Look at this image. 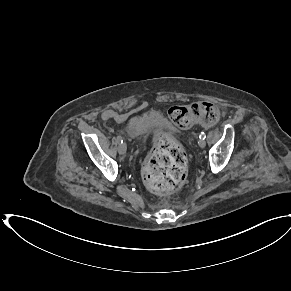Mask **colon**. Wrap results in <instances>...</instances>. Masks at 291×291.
<instances>
[{
    "mask_svg": "<svg viewBox=\"0 0 291 291\" xmlns=\"http://www.w3.org/2000/svg\"><path fill=\"white\" fill-rule=\"evenodd\" d=\"M170 120L181 128L195 123L214 124L219 117L217 107L210 102H195L172 106L168 110ZM187 173V158L179 144L166 134H161L155 148L143 167V179L148 189L156 193H168L178 189Z\"/></svg>",
    "mask_w": 291,
    "mask_h": 291,
    "instance_id": "5ec220e1",
    "label": "colon"
}]
</instances>
